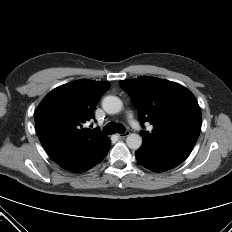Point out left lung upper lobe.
Here are the masks:
<instances>
[{
	"instance_id": "1",
	"label": "left lung upper lobe",
	"mask_w": 232,
	"mask_h": 232,
	"mask_svg": "<svg viewBox=\"0 0 232 232\" xmlns=\"http://www.w3.org/2000/svg\"><path fill=\"white\" fill-rule=\"evenodd\" d=\"M119 84L134 102L140 122L153 125L152 132H140L143 140L156 144L196 143L202 115L195 96L188 89L149 76L123 80Z\"/></svg>"
}]
</instances>
